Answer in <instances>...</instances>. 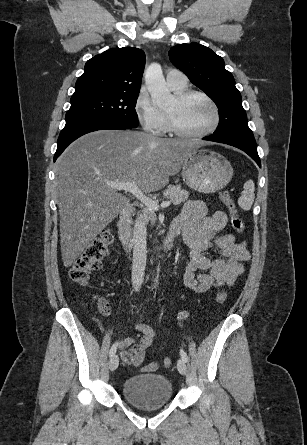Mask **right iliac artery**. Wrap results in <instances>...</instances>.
<instances>
[{"label":"right iliac artery","mask_w":307,"mask_h":445,"mask_svg":"<svg viewBox=\"0 0 307 445\" xmlns=\"http://www.w3.org/2000/svg\"><path fill=\"white\" fill-rule=\"evenodd\" d=\"M117 346H118V343H114V344L112 345V347H111V349H110V351H109V356H110V357H112V356L116 353Z\"/></svg>","instance_id":"right-iliac-artery-1"}]
</instances>
